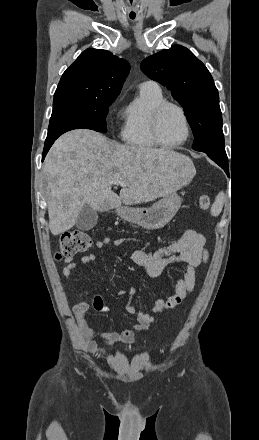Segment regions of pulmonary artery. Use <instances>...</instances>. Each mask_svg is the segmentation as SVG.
<instances>
[{
    "instance_id": "1",
    "label": "pulmonary artery",
    "mask_w": 259,
    "mask_h": 440,
    "mask_svg": "<svg viewBox=\"0 0 259 440\" xmlns=\"http://www.w3.org/2000/svg\"><path fill=\"white\" fill-rule=\"evenodd\" d=\"M140 89L147 91H154V92L161 91L159 85L155 81H151V80L141 83Z\"/></svg>"
}]
</instances>
